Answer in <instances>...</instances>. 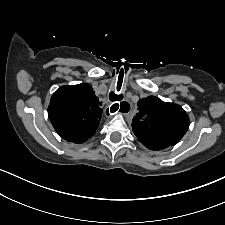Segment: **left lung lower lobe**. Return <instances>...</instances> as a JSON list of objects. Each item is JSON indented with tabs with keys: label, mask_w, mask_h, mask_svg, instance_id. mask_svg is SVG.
<instances>
[{
	"label": "left lung lower lobe",
	"mask_w": 225,
	"mask_h": 225,
	"mask_svg": "<svg viewBox=\"0 0 225 225\" xmlns=\"http://www.w3.org/2000/svg\"><path fill=\"white\" fill-rule=\"evenodd\" d=\"M142 144L146 146L148 149L155 150V151L167 148L166 146H163V145H155V144L145 143V142H142Z\"/></svg>",
	"instance_id": "1"
}]
</instances>
